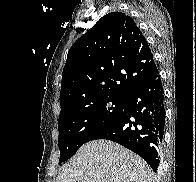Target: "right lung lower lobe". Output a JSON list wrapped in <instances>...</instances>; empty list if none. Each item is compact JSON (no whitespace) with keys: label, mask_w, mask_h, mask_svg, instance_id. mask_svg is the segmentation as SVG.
Masks as SVG:
<instances>
[{"label":"right lung lower lobe","mask_w":196,"mask_h":182,"mask_svg":"<svg viewBox=\"0 0 196 182\" xmlns=\"http://www.w3.org/2000/svg\"><path fill=\"white\" fill-rule=\"evenodd\" d=\"M164 91L157 66L128 94L120 114L91 140L108 139L140 155L156 172L165 126Z\"/></svg>","instance_id":"1"}]
</instances>
